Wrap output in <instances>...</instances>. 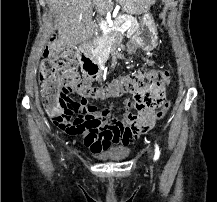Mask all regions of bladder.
Returning <instances> with one entry per match:
<instances>
[{
  "label": "bladder",
  "instance_id": "1",
  "mask_svg": "<svg viewBox=\"0 0 217 202\" xmlns=\"http://www.w3.org/2000/svg\"><path fill=\"white\" fill-rule=\"evenodd\" d=\"M129 155L127 149H114L109 152L103 153L99 155L100 158H107V159H119L124 158Z\"/></svg>",
  "mask_w": 217,
  "mask_h": 202
}]
</instances>
